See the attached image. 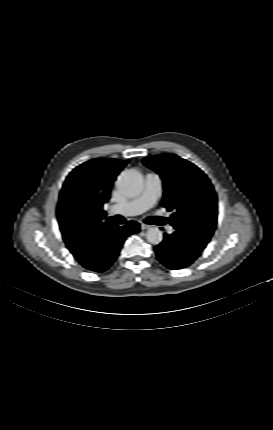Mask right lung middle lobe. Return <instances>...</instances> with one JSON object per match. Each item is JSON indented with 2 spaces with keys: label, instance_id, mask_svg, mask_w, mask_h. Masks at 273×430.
<instances>
[{
  "label": "right lung middle lobe",
  "instance_id": "1",
  "mask_svg": "<svg viewBox=\"0 0 273 430\" xmlns=\"http://www.w3.org/2000/svg\"><path fill=\"white\" fill-rule=\"evenodd\" d=\"M81 218H82L81 209L79 206H76L71 212L70 219L73 224H79L81 223Z\"/></svg>",
  "mask_w": 273,
  "mask_h": 430
}]
</instances>
